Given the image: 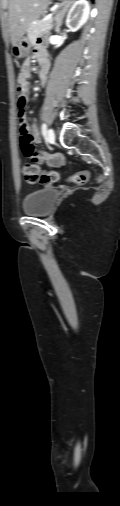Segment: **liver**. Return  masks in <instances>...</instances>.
Listing matches in <instances>:
<instances>
[{"instance_id": "1", "label": "liver", "mask_w": 120, "mask_h": 506, "mask_svg": "<svg viewBox=\"0 0 120 506\" xmlns=\"http://www.w3.org/2000/svg\"><path fill=\"white\" fill-rule=\"evenodd\" d=\"M50 0H9V28L12 44L26 33L30 24L47 9Z\"/></svg>"}]
</instances>
